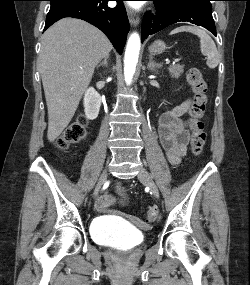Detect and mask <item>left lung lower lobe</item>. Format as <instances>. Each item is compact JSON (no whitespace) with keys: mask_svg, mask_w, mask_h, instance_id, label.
I'll list each match as a JSON object with an SVG mask.
<instances>
[{"mask_svg":"<svg viewBox=\"0 0 250 285\" xmlns=\"http://www.w3.org/2000/svg\"><path fill=\"white\" fill-rule=\"evenodd\" d=\"M154 1L157 11L155 16L146 13L143 19L142 42L154 33L178 22H189L202 26L216 36V28L212 17V9L196 3H186L166 10L158 0Z\"/></svg>","mask_w":250,"mask_h":285,"instance_id":"left-lung-lower-lobe-1","label":"left lung lower lobe"}]
</instances>
